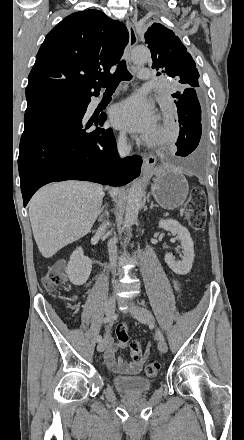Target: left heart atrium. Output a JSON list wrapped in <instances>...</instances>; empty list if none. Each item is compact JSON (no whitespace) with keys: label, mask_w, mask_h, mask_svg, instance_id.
<instances>
[{"label":"left heart atrium","mask_w":244,"mask_h":440,"mask_svg":"<svg viewBox=\"0 0 244 440\" xmlns=\"http://www.w3.org/2000/svg\"><path fill=\"white\" fill-rule=\"evenodd\" d=\"M111 121L115 127L129 132H147L151 136L159 134L155 106L140 96L116 104L111 112Z\"/></svg>","instance_id":"obj_1"}]
</instances>
